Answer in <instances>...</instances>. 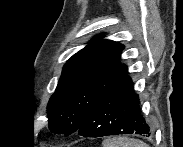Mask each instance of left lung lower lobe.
<instances>
[{
	"instance_id": "left-lung-lower-lobe-1",
	"label": "left lung lower lobe",
	"mask_w": 183,
	"mask_h": 147,
	"mask_svg": "<svg viewBox=\"0 0 183 147\" xmlns=\"http://www.w3.org/2000/svg\"><path fill=\"white\" fill-rule=\"evenodd\" d=\"M77 133L84 137L152 134V129L141 115L139 96L135 94L128 74L98 100Z\"/></svg>"
}]
</instances>
